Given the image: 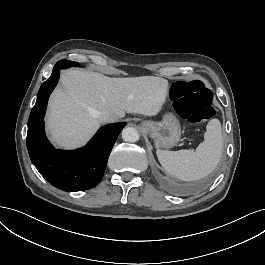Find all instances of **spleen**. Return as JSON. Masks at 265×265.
Segmentation results:
<instances>
[{
	"label": "spleen",
	"instance_id": "1",
	"mask_svg": "<svg viewBox=\"0 0 265 265\" xmlns=\"http://www.w3.org/2000/svg\"><path fill=\"white\" fill-rule=\"evenodd\" d=\"M206 129L204 141L195 151L157 149L158 160L168 174L189 182L200 180L214 171L223 149L221 123L218 119H212Z\"/></svg>",
	"mask_w": 265,
	"mask_h": 265
}]
</instances>
